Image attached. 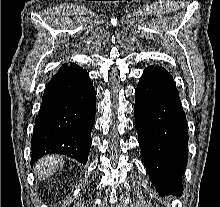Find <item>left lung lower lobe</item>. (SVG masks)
<instances>
[{"label":"left lung lower lobe","mask_w":220,"mask_h":207,"mask_svg":"<svg viewBox=\"0 0 220 207\" xmlns=\"http://www.w3.org/2000/svg\"><path fill=\"white\" fill-rule=\"evenodd\" d=\"M134 112L141 156L156 190L182 194L188 127L176 84L163 67L144 70L135 91Z\"/></svg>","instance_id":"1"}]
</instances>
